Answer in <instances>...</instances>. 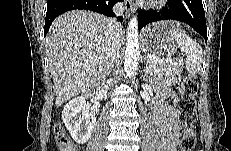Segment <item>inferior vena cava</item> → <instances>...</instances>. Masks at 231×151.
Instances as JSON below:
<instances>
[{
  "label": "inferior vena cava",
  "instance_id": "602c4592",
  "mask_svg": "<svg viewBox=\"0 0 231 151\" xmlns=\"http://www.w3.org/2000/svg\"><path fill=\"white\" fill-rule=\"evenodd\" d=\"M113 11L117 15L123 14L124 5L122 3H117L113 7ZM108 24H109V31L107 33V47H106V55H107L106 74L107 75L110 73V69L113 66V63L120 50V44L117 40V35H119V33L121 32V27L116 20L109 18Z\"/></svg>",
  "mask_w": 231,
  "mask_h": 151
}]
</instances>
